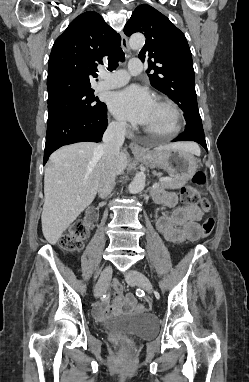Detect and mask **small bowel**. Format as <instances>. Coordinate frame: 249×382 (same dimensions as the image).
Listing matches in <instances>:
<instances>
[{"label":"small bowel","instance_id":"1","mask_svg":"<svg viewBox=\"0 0 249 382\" xmlns=\"http://www.w3.org/2000/svg\"><path fill=\"white\" fill-rule=\"evenodd\" d=\"M158 203L172 208L170 215H162L157 220V228L169 241L182 242L185 240L195 241L199 239L201 228L199 221L203 215L197 206L177 205L174 194L165 193L157 197ZM113 299H105L97 305L100 315L119 313L121 311L131 312L135 305L132 295L123 296V289L119 282L112 283Z\"/></svg>","mask_w":249,"mask_h":382}]
</instances>
